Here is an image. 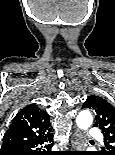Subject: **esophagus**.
Instances as JSON below:
<instances>
[{
  "instance_id": "obj_1",
  "label": "esophagus",
  "mask_w": 115,
  "mask_h": 155,
  "mask_svg": "<svg viewBox=\"0 0 115 155\" xmlns=\"http://www.w3.org/2000/svg\"><path fill=\"white\" fill-rule=\"evenodd\" d=\"M82 141L83 137L81 132L79 130H76L71 140L72 147L75 151H79V149L81 148Z\"/></svg>"
}]
</instances>
